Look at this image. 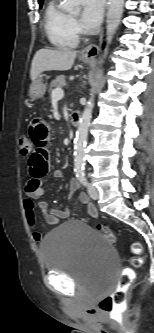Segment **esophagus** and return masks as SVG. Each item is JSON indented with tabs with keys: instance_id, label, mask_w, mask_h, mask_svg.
<instances>
[{
	"instance_id": "1",
	"label": "esophagus",
	"mask_w": 154,
	"mask_h": 333,
	"mask_svg": "<svg viewBox=\"0 0 154 333\" xmlns=\"http://www.w3.org/2000/svg\"><path fill=\"white\" fill-rule=\"evenodd\" d=\"M99 47L96 43L87 45L82 51L81 55L84 57L93 58L98 54Z\"/></svg>"
}]
</instances>
